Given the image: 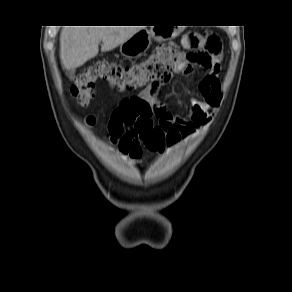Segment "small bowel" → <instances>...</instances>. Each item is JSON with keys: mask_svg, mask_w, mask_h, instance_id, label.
<instances>
[{"mask_svg": "<svg viewBox=\"0 0 292 292\" xmlns=\"http://www.w3.org/2000/svg\"><path fill=\"white\" fill-rule=\"evenodd\" d=\"M201 47H204V50L194 60L205 71L199 84L201 98L191 100L189 115L186 118L176 116L167 106L161 105L155 124L163 134V147L160 152L174 149L182 139L194 136L208 125L221 101V85L218 78L222 60L221 43L210 47L203 42ZM168 80L169 78L162 81L160 87ZM143 147L141 133L135 126H129L119 139L121 152L134 164L140 163Z\"/></svg>", "mask_w": 292, "mask_h": 292, "instance_id": "small-bowel-1", "label": "small bowel"}]
</instances>
